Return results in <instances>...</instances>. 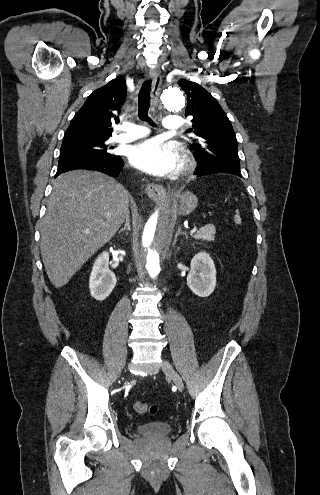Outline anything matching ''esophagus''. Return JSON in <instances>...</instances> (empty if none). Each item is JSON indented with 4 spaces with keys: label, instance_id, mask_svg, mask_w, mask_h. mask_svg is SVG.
Instances as JSON below:
<instances>
[{
    "label": "esophagus",
    "instance_id": "obj_1",
    "mask_svg": "<svg viewBox=\"0 0 320 495\" xmlns=\"http://www.w3.org/2000/svg\"><path fill=\"white\" fill-rule=\"evenodd\" d=\"M149 75L152 79L151 103L152 107L155 108L159 100L161 76L157 68H151ZM145 191L148 196L155 201L164 199L166 194L164 187L155 183H148L145 187Z\"/></svg>",
    "mask_w": 320,
    "mask_h": 495
}]
</instances>
